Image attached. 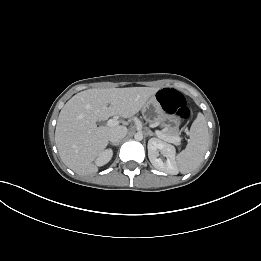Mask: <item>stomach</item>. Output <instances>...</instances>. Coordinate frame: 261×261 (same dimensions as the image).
<instances>
[{
    "label": "stomach",
    "instance_id": "obj_1",
    "mask_svg": "<svg viewBox=\"0 0 261 261\" xmlns=\"http://www.w3.org/2000/svg\"><path fill=\"white\" fill-rule=\"evenodd\" d=\"M143 114L145 119L148 122H159L163 121L165 119H168L169 126H178V122L173 121L167 117V115L162 110V107L160 105V102L157 100L156 96L153 95L147 103L143 107Z\"/></svg>",
    "mask_w": 261,
    "mask_h": 261
}]
</instances>
